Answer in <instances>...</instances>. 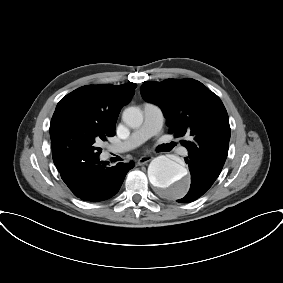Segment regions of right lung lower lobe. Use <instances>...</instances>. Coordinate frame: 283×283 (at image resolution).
<instances>
[{
    "label": "right lung lower lobe",
    "mask_w": 283,
    "mask_h": 283,
    "mask_svg": "<svg viewBox=\"0 0 283 283\" xmlns=\"http://www.w3.org/2000/svg\"><path fill=\"white\" fill-rule=\"evenodd\" d=\"M133 166V162H120L110 167L108 162L99 159V155H87L68 163L59 172L75 196L97 202L114 196Z\"/></svg>",
    "instance_id": "right-lung-lower-lobe-1"
}]
</instances>
